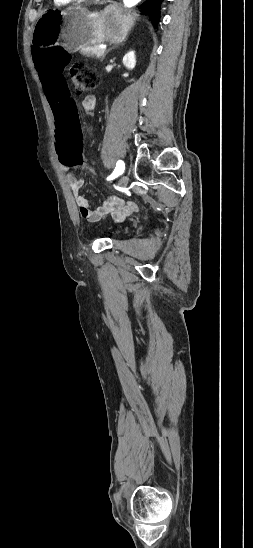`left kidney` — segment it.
I'll return each mask as SVG.
<instances>
[{"label":"left kidney","mask_w":253,"mask_h":548,"mask_svg":"<svg viewBox=\"0 0 253 548\" xmlns=\"http://www.w3.org/2000/svg\"><path fill=\"white\" fill-rule=\"evenodd\" d=\"M123 64L124 66L129 69V70H132L134 69L135 65H136V57H135V52L134 51H130L128 52L124 57H123Z\"/></svg>","instance_id":"1"}]
</instances>
